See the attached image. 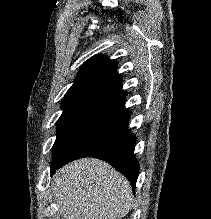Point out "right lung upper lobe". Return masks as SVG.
<instances>
[{
    "instance_id": "right-lung-upper-lobe-1",
    "label": "right lung upper lobe",
    "mask_w": 211,
    "mask_h": 219,
    "mask_svg": "<svg viewBox=\"0 0 211 219\" xmlns=\"http://www.w3.org/2000/svg\"><path fill=\"white\" fill-rule=\"evenodd\" d=\"M116 68L114 60L93 56L81 67L63 103L88 99L119 108L124 106L126 97L122 94V81Z\"/></svg>"
}]
</instances>
